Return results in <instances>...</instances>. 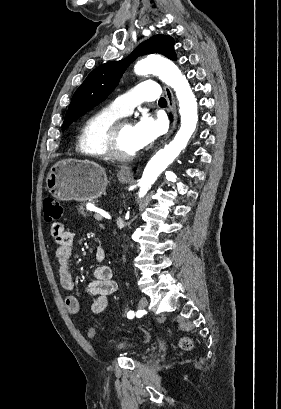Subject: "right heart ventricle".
<instances>
[{
	"label": "right heart ventricle",
	"instance_id": "1",
	"mask_svg": "<svg viewBox=\"0 0 281 409\" xmlns=\"http://www.w3.org/2000/svg\"><path fill=\"white\" fill-rule=\"evenodd\" d=\"M120 117L110 108H102L92 113L85 121L79 140L81 152L92 158L106 157L102 147V135L108 124Z\"/></svg>",
	"mask_w": 281,
	"mask_h": 409
}]
</instances>
